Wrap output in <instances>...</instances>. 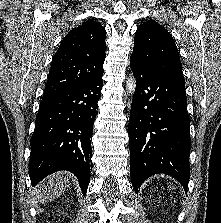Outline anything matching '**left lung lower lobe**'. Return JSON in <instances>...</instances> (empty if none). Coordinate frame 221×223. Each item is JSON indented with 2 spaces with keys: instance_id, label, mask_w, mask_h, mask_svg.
<instances>
[{
  "instance_id": "obj_1",
  "label": "left lung lower lobe",
  "mask_w": 221,
  "mask_h": 223,
  "mask_svg": "<svg viewBox=\"0 0 221 223\" xmlns=\"http://www.w3.org/2000/svg\"><path fill=\"white\" fill-rule=\"evenodd\" d=\"M137 86L130 120V176L134 191L164 173L186 190L190 178V118L185 81L154 72L130 59Z\"/></svg>"
}]
</instances>
